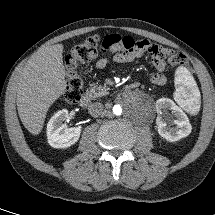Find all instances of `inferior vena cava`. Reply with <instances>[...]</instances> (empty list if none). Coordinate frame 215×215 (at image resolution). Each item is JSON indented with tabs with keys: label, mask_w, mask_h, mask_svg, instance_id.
Here are the masks:
<instances>
[{
	"label": "inferior vena cava",
	"mask_w": 215,
	"mask_h": 215,
	"mask_svg": "<svg viewBox=\"0 0 215 215\" xmlns=\"http://www.w3.org/2000/svg\"><path fill=\"white\" fill-rule=\"evenodd\" d=\"M104 106L100 102H95L89 105L88 111L93 117H98L103 114Z\"/></svg>",
	"instance_id": "inferior-vena-cava-1"
}]
</instances>
